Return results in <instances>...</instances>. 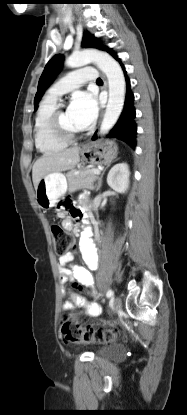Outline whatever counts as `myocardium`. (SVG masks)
Returning a JSON list of instances; mask_svg holds the SVG:
<instances>
[{
    "mask_svg": "<svg viewBox=\"0 0 187 415\" xmlns=\"http://www.w3.org/2000/svg\"><path fill=\"white\" fill-rule=\"evenodd\" d=\"M65 109L62 105L57 106L55 111L52 113L49 121V127L51 133L57 139L65 143H73L82 136V131L77 133H72L67 131L61 123V116L64 113Z\"/></svg>",
    "mask_w": 187,
    "mask_h": 415,
    "instance_id": "myocardium-1",
    "label": "myocardium"
}]
</instances>
